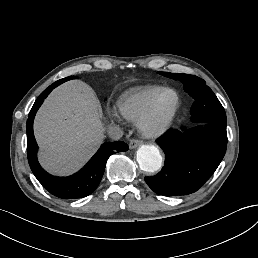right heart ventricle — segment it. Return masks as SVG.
Returning <instances> with one entry per match:
<instances>
[{
    "mask_svg": "<svg viewBox=\"0 0 258 258\" xmlns=\"http://www.w3.org/2000/svg\"><path fill=\"white\" fill-rule=\"evenodd\" d=\"M160 89L158 85H148L123 93L118 99L120 113L128 120H137Z\"/></svg>",
    "mask_w": 258,
    "mask_h": 258,
    "instance_id": "1",
    "label": "right heart ventricle"
}]
</instances>
